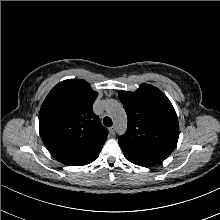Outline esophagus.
Listing matches in <instances>:
<instances>
[{
    "label": "esophagus",
    "mask_w": 220,
    "mask_h": 220,
    "mask_svg": "<svg viewBox=\"0 0 220 220\" xmlns=\"http://www.w3.org/2000/svg\"><path fill=\"white\" fill-rule=\"evenodd\" d=\"M109 132H110V134L114 135L115 134V127L114 126L110 127Z\"/></svg>",
    "instance_id": "1"
}]
</instances>
